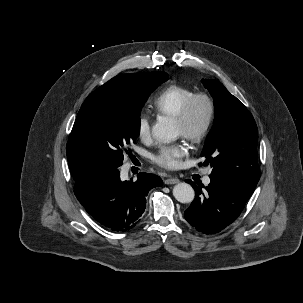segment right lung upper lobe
Returning <instances> with one entry per match:
<instances>
[{
  "instance_id": "1",
  "label": "right lung upper lobe",
  "mask_w": 303,
  "mask_h": 303,
  "mask_svg": "<svg viewBox=\"0 0 303 303\" xmlns=\"http://www.w3.org/2000/svg\"><path fill=\"white\" fill-rule=\"evenodd\" d=\"M154 72L148 73H133V74H124L119 75L112 78L110 81L114 82L115 84L126 87L129 89H140L143 88L148 81L153 76ZM90 165L86 164L85 168H89Z\"/></svg>"
}]
</instances>
